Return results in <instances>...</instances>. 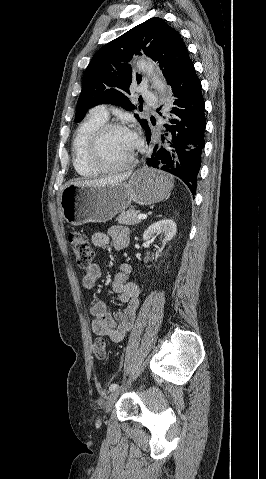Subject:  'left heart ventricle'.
Wrapping results in <instances>:
<instances>
[{"label":"left heart ventricle","mask_w":266,"mask_h":479,"mask_svg":"<svg viewBox=\"0 0 266 479\" xmlns=\"http://www.w3.org/2000/svg\"><path fill=\"white\" fill-rule=\"evenodd\" d=\"M135 141L131 132L125 130L108 132L100 143V159L110 166L125 162L133 150Z\"/></svg>","instance_id":"b2bd125f"}]
</instances>
